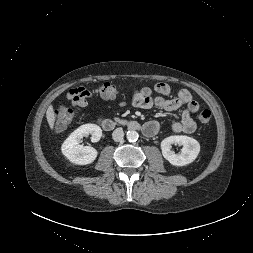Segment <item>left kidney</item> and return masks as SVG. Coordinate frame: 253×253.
Wrapping results in <instances>:
<instances>
[{
	"label": "left kidney",
	"mask_w": 253,
	"mask_h": 253,
	"mask_svg": "<svg viewBox=\"0 0 253 253\" xmlns=\"http://www.w3.org/2000/svg\"><path fill=\"white\" fill-rule=\"evenodd\" d=\"M172 144L182 146L181 154H176L171 150ZM163 157L174 166H184L192 163L200 152V144L194 138L185 135H175L165 138L161 142Z\"/></svg>",
	"instance_id": "left-kidney-1"
}]
</instances>
